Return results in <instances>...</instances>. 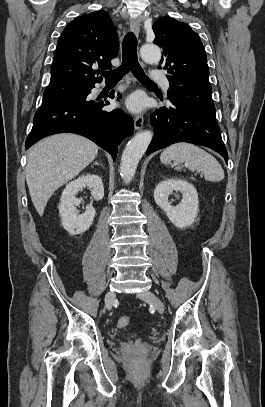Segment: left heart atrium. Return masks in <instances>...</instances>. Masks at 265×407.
I'll return each instance as SVG.
<instances>
[{
  "instance_id": "left-heart-atrium-1",
  "label": "left heart atrium",
  "mask_w": 265,
  "mask_h": 407,
  "mask_svg": "<svg viewBox=\"0 0 265 407\" xmlns=\"http://www.w3.org/2000/svg\"><path fill=\"white\" fill-rule=\"evenodd\" d=\"M126 105L129 108V110L133 112H138L143 109L144 102L141 96L132 95L131 97L128 98Z\"/></svg>"
}]
</instances>
